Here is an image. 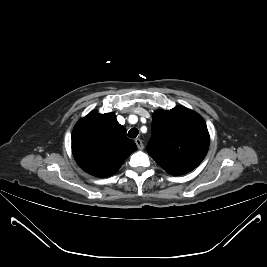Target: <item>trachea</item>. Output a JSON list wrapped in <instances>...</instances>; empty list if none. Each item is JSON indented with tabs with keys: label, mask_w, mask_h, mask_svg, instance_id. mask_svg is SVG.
<instances>
[{
	"label": "trachea",
	"mask_w": 267,
	"mask_h": 267,
	"mask_svg": "<svg viewBox=\"0 0 267 267\" xmlns=\"http://www.w3.org/2000/svg\"><path fill=\"white\" fill-rule=\"evenodd\" d=\"M139 131L137 128H132L128 131V137L129 138H136L138 135Z\"/></svg>",
	"instance_id": "3493384b"
}]
</instances>
